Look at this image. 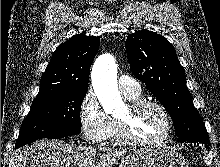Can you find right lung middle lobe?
Wrapping results in <instances>:
<instances>
[{
	"instance_id": "1",
	"label": "right lung middle lobe",
	"mask_w": 220,
	"mask_h": 167,
	"mask_svg": "<svg viewBox=\"0 0 220 167\" xmlns=\"http://www.w3.org/2000/svg\"><path fill=\"white\" fill-rule=\"evenodd\" d=\"M87 90L65 89L34 100L15 147L41 138L57 139L80 133V109Z\"/></svg>"
}]
</instances>
